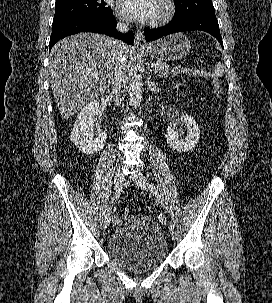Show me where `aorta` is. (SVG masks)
Instances as JSON below:
<instances>
[{"label":"aorta","instance_id":"762f6f07","mask_svg":"<svg viewBox=\"0 0 272 303\" xmlns=\"http://www.w3.org/2000/svg\"><path fill=\"white\" fill-rule=\"evenodd\" d=\"M142 82L141 78L138 75H134V79L130 83L129 87V97H130V104L132 107L137 108L141 104L142 100Z\"/></svg>","mask_w":272,"mask_h":303}]
</instances>
